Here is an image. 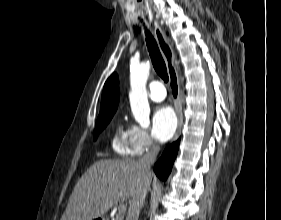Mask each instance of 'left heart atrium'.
<instances>
[{"label":"left heart atrium","instance_id":"left-heart-atrium-1","mask_svg":"<svg viewBox=\"0 0 281 220\" xmlns=\"http://www.w3.org/2000/svg\"><path fill=\"white\" fill-rule=\"evenodd\" d=\"M177 127L174 111L168 106L159 107L152 118V134L160 142L170 139Z\"/></svg>","mask_w":281,"mask_h":220}]
</instances>
